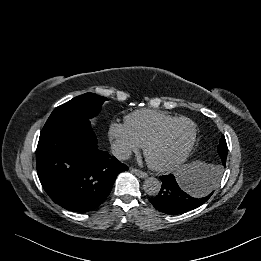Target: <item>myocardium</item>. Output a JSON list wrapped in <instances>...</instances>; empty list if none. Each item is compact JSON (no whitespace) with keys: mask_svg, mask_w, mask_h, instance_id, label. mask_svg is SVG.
Segmentation results:
<instances>
[{"mask_svg":"<svg viewBox=\"0 0 261 261\" xmlns=\"http://www.w3.org/2000/svg\"><path fill=\"white\" fill-rule=\"evenodd\" d=\"M182 121H186L192 125L193 133H192V137H191V140H190L188 146L186 147L184 152L181 154V156L179 158H177L175 161L168 163V164H156L153 161H151V159L149 158L150 148L163 137V135L167 132V130L169 128H171L173 125H175L179 122H182ZM197 134H198V128H197L196 123L187 117H176L175 119L162 125L158 130H156L147 139V141L143 145L144 156H145V159H146L149 167L157 172H162V173L170 172V171L176 169L177 167H179L181 164H183L187 160V158L191 154V152L195 146L196 140H197Z\"/></svg>","mask_w":261,"mask_h":261,"instance_id":"obj_1","label":"myocardium"}]
</instances>
